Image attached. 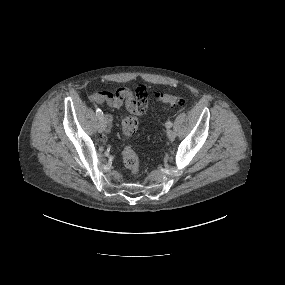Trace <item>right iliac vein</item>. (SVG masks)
<instances>
[{"mask_svg": "<svg viewBox=\"0 0 285 285\" xmlns=\"http://www.w3.org/2000/svg\"><path fill=\"white\" fill-rule=\"evenodd\" d=\"M105 128H106V124H105L104 119L103 118L99 119L98 126H97L98 131L101 133L105 130Z\"/></svg>", "mask_w": 285, "mask_h": 285, "instance_id": "63e3f726", "label": "right iliac vein"}]
</instances>
